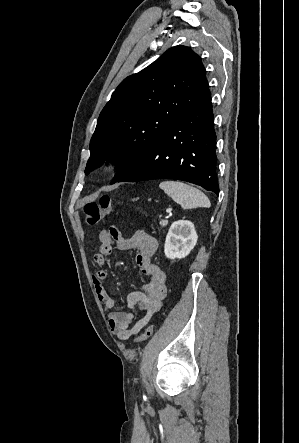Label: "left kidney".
I'll return each mask as SVG.
<instances>
[{"mask_svg":"<svg viewBox=\"0 0 299 443\" xmlns=\"http://www.w3.org/2000/svg\"><path fill=\"white\" fill-rule=\"evenodd\" d=\"M194 224L187 220H178L170 226L166 236L164 253L167 258H184L197 243Z\"/></svg>","mask_w":299,"mask_h":443,"instance_id":"obj_1","label":"left kidney"}]
</instances>
